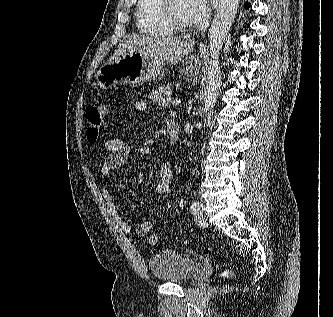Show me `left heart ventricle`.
<instances>
[{
	"mask_svg": "<svg viewBox=\"0 0 333 317\" xmlns=\"http://www.w3.org/2000/svg\"><path fill=\"white\" fill-rule=\"evenodd\" d=\"M173 15L176 21L183 26H192L188 15L187 0H175L173 3Z\"/></svg>",
	"mask_w": 333,
	"mask_h": 317,
	"instance_id": "left-heart-ventricle-1",
	"label": "left heart ventricle"
}]
</instances>
